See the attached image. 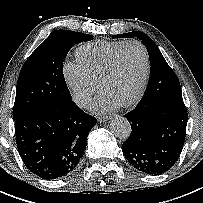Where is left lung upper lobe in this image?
<instances>
[{"instance_id":"left-lung-upper-lobe-1","label":"left lung upper lobe","mask_w":203,"mask_h":203,"mask_svg":"<svg viewBox=\"0 0 203 203\" xmlns=\"http://www.w3.org/2000/svg\"><path fill=\"white\" fill-rule=\"evenodd\" d=\"M114 37H137L142 40L151 64L150 82L137 106L183 102L181 86L175 72L168 65L153 40L141 31L118 34Z\"/></svg>"}]
</instances>
